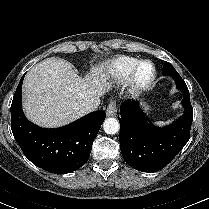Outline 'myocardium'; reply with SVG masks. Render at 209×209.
<instances>
[{
	"mask_svg": "<svg viewBox=\"0 0 209 209\" xmlns=\"http://www.w3.org/2000/svg\"><path fill=\"white\" fill-rule=\"evenodd\" d=\"M145 64L151 65L152 74L149 78L142 79L140 77V70L142 66ZM156 77H157V69L153 62H151L150 60L139 61V63L136 65L130 77V84L132 91L135 93H141L143 91L148 90L154 84Z\"/></svg>",
	"mask_w": 209,
	"mask_h": 209,
	"instance_id": "obj_1",
	"label": "myocardium"
}]
</instances>
